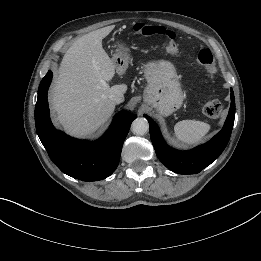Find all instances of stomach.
Returning a JSON list of instances; mask_svg holds the SVG:
<instances>
[{"instance_id":"stomach-1","label":"stomach","mask_w":261,"mask_h":261,"mask_svg":"<svg viewBox=\"0 0 261 261\" xmlns=\"http://www.w3.org/2000/svg\"><path fill=\"white\" fill-rule=\"evenodd\" d=\"M130 58L126 43L116 44L114 61L118 69L126 68ZM147 87L144 91V102L150 105L158 115L169 116L183 104L184 93L178 81L174 65L167 60L149 61L144 66Z\"/></svg>"}]
</instances>
